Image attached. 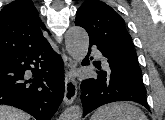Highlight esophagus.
Instances as JSON below:
<instances>
[{"label": "esophagus", "mask_w": 165, "mask_h": 120, "mask_svg": "<svg viewBox=\"0 0 165 120\" xmlns=\"http://www.w3.org/2000/svg\"><path fill=\"white\" fill-rule=\"evenodd\" d=\"M63 62L67 72L65 79L64 103L70 105L74 102L77 95V81L72 75H70V73L76 68L77 63L65 54H63Z\"/></svg>", "instance_id": "esophagus-1"}]
</instances>
